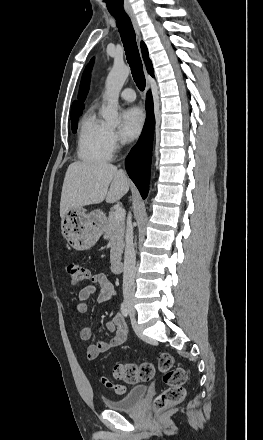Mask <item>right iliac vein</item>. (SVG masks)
<instances>
[{
	"instance_id": "1",
	"label": "right iliac vein",
	"mask_w": 263,
	"mask_h": 440,
	"mask_svg": "<svg viewBox=\"0 0 263 440\" xmlns=\"http://www.w3.org/2000/svg\"><path fill=\"white\" fill-rule=\"evenodd\" d=\"M126 304L128 306V308L131 310L132 314L135 315V311L133 308V300L132 299H127L126 300Z\"/></svg>"
}]
</instances>
